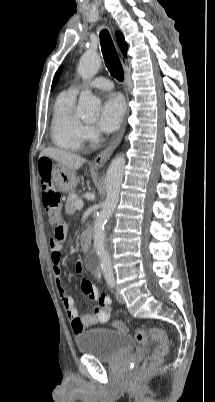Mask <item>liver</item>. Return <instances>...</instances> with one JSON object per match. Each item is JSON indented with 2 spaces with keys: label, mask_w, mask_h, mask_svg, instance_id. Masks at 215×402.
I'll list each match as a JSON object with an SVG mask.
<instances>
[{
  "label": "liver",
  "mask_w": 215,
  "mask_h": 402,
  "mask_svg": "<svg viewBox=\"0 0 215 402\" xmlns=\"http://www.w3.org/2000/svg\"><path fill=\"white\" fill-rule=\"evenodd\" d=\"M44 156L54 159L58 163H61L62 165L73 171L78 170L80 167H82L86 161L79 155L55 148H46L42 150L39 157Z\"/></svg>",
  "instance_id": "obj_1"
}]
</instances>
